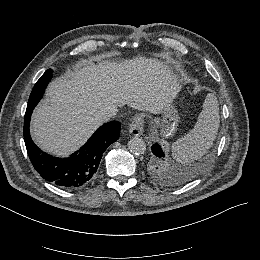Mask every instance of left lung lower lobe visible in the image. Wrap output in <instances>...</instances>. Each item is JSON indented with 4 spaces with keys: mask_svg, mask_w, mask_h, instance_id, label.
<instances>
[{
    "mask_svg": "<svg viewBox=\"0 0 260 260\" xmlns=\"http://www.w3.org/2000/svg\"><path fill=\"white\" fill-rule=\"evenodd\" d=\"M151 149L156 157L162 158L165 156L159 144L157 143L153 144Z\"/></svg>",
    "mask_w": 260,
    "mask_h": 260,
    "instance_id": "left-lung-lower-lobe-1",
    "label": "left lung lower lobe"
}]
</instances>
